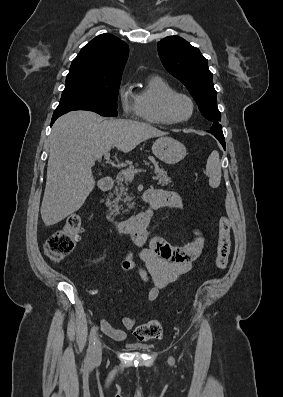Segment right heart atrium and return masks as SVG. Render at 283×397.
Listing matches in <instances>:
<instances>
[{"instance_id":"right-heart-atrium-1","label":"right heart atrium","mask_w":283,"mask_h":397,"mask_svg":"<svg viewBox=\"0 0 283 397\" xmlns=\"http://www.w3.org/2000/svg\"><path fill=\"white\" fill-rule=\"evenodd\" d=\"M122 114L126 118L138 116V103L136 94L132 92L129 83H123L117 93Z\"/></svg>"}]
</instances>
